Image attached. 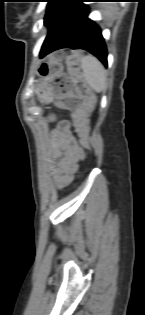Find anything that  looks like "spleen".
I'll list each match as a JSON object with an SVG mask.
<instances>
[{
	"label": "spleen",
	"mask_w": 145,
	"mask_h": 315,
	"mask_svg": "<svg viewBox=\"0 0 145 315\" xmlns=\"http://www.w3.org/2000/svg\"><path fill=\"white\" fill-rule=\"evenodd\" d=\"M86 83L97 93L106 88V73L101 62L92 55L80 59Z\"/></svg>",
	"instance_id": "spleen-1"
}]
</instances>
